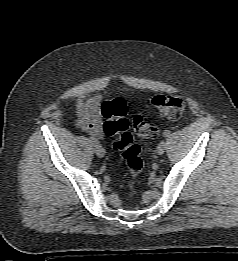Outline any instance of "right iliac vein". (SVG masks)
<instances>
[{"label": "right iliac vein", "instance_id": "63e3f726", "mask_svg": "<svg viewBox=\"0 0 238 261\" xmlns=\"http://www.w3.org/2000/svg\"><path fill=\"white\" fill-rule=\"evenodd\" d=\"M95 153L98 157L102 158L105 155V150L103 149V147L99 144L95 145Z\"/></svg>", "mask_w": 238, "mask_h": 261}]
</instances>
